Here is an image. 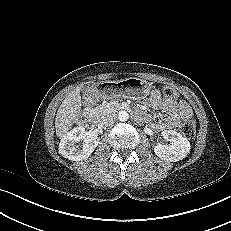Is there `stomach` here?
<instances>
[{
    "instance_id": "0dacf381",
    "label": "stomach",
    "mask_w": 231,
    "mask_h": 231,
    "mask_svg": "<svg viewBox=\"0 0 231 231\" xmlns=\"http://www.w3.org/2000/svg\"><path fill=\"white\" fill-rule=\"evenodd\" d=\"M107 87L110 97L121 96L136 100L146 98L151 91V86L146 80L135 77L109 82Z\"/></svg>"
}]
</instances>
